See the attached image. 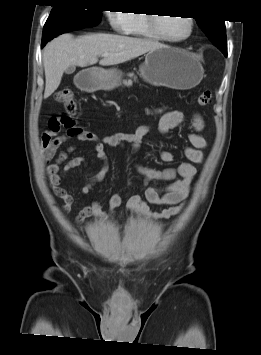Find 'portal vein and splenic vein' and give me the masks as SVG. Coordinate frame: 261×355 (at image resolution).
Masks as SVG:
<instances>
[{
    "instance_id": "1",
    "label": "portal vein and splenic vein",
    "mask_w": 261,
    "mask_h": 355,
    "mask_svg": "<svg viewBox=\"0 0 261 355\" xmlns=\"http://www.w3.org/2000/svg\"><path fill=\"white\" fill-rule=\"evenodd\" d=\"M107 56H109V53H103L102 54V57H107Z\"/></svg>"
}]
</instances>
